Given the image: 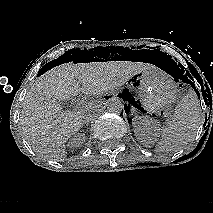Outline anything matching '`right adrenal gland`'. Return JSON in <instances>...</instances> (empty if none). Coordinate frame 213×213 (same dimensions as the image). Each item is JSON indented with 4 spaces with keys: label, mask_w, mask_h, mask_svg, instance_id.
<instances>
[{
    "label": "right adrenal gland",
    "mask_w": 213,
    "mask_h": 213,
    "mask_svg": "<svg viewBox=\"0 0 213 213\" xmlns=\"http://www.w3.org/2000/svg\"><path fill=\"white\" fill-rule=\"evenodd\" d=\"M84 124H86V126H88V125H89V122H85V121H84Z\"/></svg>",
    "instance_id": "obj_1"
}]
</instances>
